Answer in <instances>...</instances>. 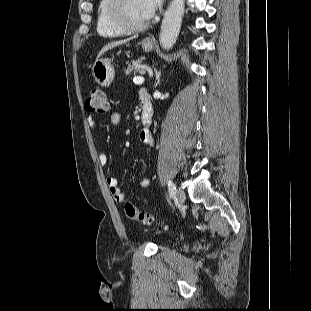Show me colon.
<instances>
[{"mask_svg":"<svg viewBox=\"0 0 311 311\" xmlns=\"http://www.w3.org/2000/svg\"><path fill=\"white\" fill-rule=\"evenodd\" d=\"M85 108L90 113H106L108 110V100L106 92L102 88H94L85 102ZM123 206L125 214L128 218L145 225H151L154 223V219L150 214L139 210L131 202L125 201L123 203ZM160 229L166 230V227L160 226Z\"/></svg>","mask_w":311,"mask_h":311,"instance_id":"obj_1","label":"colon"}]
</instances>
